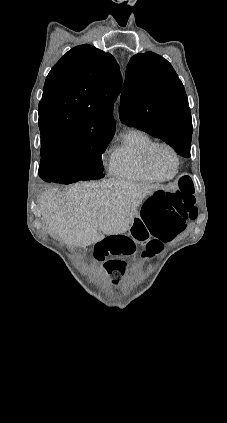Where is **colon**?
Returning a JSON list of instances; mask_svg holds the SVG:
<instances>
[{"label":"colon","mask_w":227,"mask_h":423,"mask_svg":"<svg viewBox=\"0 0 227 423\" xmlns=\"http://www.w3.org/2000/svg\"><path fill=\"white\" fill-rule=\"evenodd\" d=\"M195 192L189 177L181 178L176 191L165 188L155 189L144 198L140 219L144 221L149 232L161 240L168 242L179 234L188 220L195 219ZM143 229L134 225L131 235H113L100 241L95 246L97 257L104 260L107 256L113 259L106 263L107 272L117 280L124 268L121 256L133 254L136 250L135 240L143 237ZM154 242L147 244L146 256H151L156 251Z\"/></svg>","instance_id":"obj_1"}]
</instances>
